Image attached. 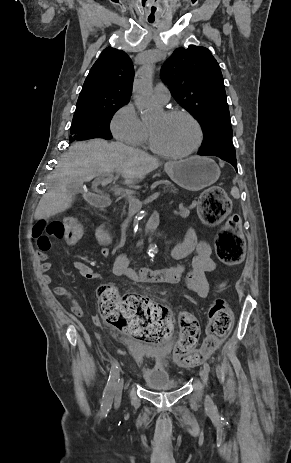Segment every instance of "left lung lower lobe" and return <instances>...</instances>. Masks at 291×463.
I'll use <instances>...</instances> for the list:
<instances>
[{
  "mask_svg": "<svg viewBox=\"0 0 291 463\" xmlns=\"http://www.w3.org/2000/svg\"><path fill=\"white\" fill-rule=\"evenodd\" d=\"M199 155H203V156H206V155H211V156H217L219 158H221L222 160H225L227 162H229L230 164H232L236 171H237V161H236V156H226V155H218V154H209V153H204V152H198Z\"/></svg>",
  "mask_w": 291,
  "mask_h": 463,
  "instance_id": "left-lung-lower-lobe-1",
  "label": "left lung lower lobe"
}]
</instances>
